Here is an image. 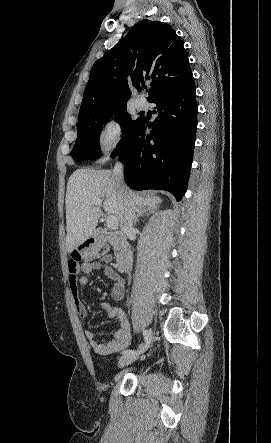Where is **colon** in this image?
Segmentation results:
<instances>
[{
    "instance_id": "colon-1",
    "label": "colon",
    "mask_w": 271,
    "mask_h": 443,
    "mask_svg": "<svg viewBox=\"0 0 271 443\" xmlns=\"http://www.w3.org/2000/svg\"><path fill=\"white\" fill-rule=\"evenodd\" d=\"M108 248L106 244L98 239H90L77 247L73 253L71 261L75 264L87 263L89 261L106 256Z\"/></svg>"
}]
</instances>
